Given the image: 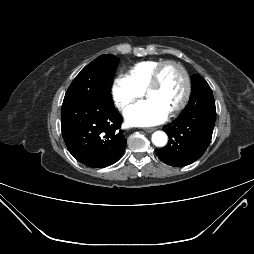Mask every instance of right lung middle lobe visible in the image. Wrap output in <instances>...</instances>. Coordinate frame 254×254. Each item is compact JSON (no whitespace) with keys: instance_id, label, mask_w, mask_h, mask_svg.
Returning a JSON list of instances; mask_svg holds the SVG:
<instances>
[{"instance_id":"dd1d6c3e","label":"right lung middle lobe","mask_w":254,"mask_h":254,"mask_svg":"<svg viewBox=\"0 0 254 254\" xmlns=\"http://www.w3.org/2000/svg\"><path fill=\"white\" fill-rule=\"evenodd\" d=\"M119 59L101 55L88 64L73 80L64 99L73 98L99 106L113 105L110 84Z\"/></svg>"}]
</instances>
